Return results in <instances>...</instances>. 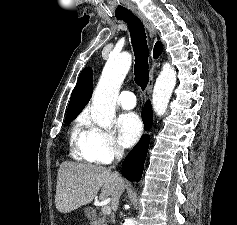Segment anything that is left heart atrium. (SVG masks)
<instances>
[{"label": "left heart atrium", "instance_id": "39dd6f15", "mask_svg": "<svg viewBox=\"0 0 237 225\" xmlns=\"http://www.w3.org/2000/svg\"><path fill=\"white\" fill-rule=\"evenodd\" d=\"M120 141L123 146H133L142 134V124L135 113H124L117 120Z\"/></svg>", "mask_w": 237, "mask_h": 225}]
</instances>
